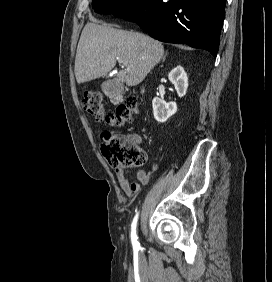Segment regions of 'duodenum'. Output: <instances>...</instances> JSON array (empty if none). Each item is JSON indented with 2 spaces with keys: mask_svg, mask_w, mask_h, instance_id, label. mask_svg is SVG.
<instances>
[{
  "mask_svg": "<svg viewBox=\"0 0 272 282\" xmlns=\"http://www.w3.org/2000/svg\"><path fill=\"white\" fill-rule=\"evenodd\" d=\"M106 91L112 100L118 101L122 98L123 86L116 81L110 82L106 86Z\"/></svg>",
  "mask_w": 272,
  "mask_h": 282,
  "instance_id": "1",
  "label": "duodenum"
}]
</instances>
